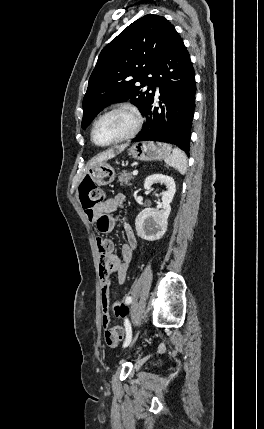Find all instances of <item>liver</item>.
Masks as SVG:
<instances>
[{
	"instance_id": "6515ba94",
	"label": "liver",
	"mask_w": 264,
	"mask_h": 429,
	"mask_svg": "<svg viewBox=\"0 0 264 429\" xmlns=\"http://www.w3.org/2000/svg\"><path fill=\"white\" fill-rule=\"evenodd\" d=\"M126 147H127V144H123V145L117 146L116 148H111V149L101 153L100 155L93 158V160L90 163V167L94 166L97 163L104 162L108 159L115 157L116 152L120 153V152L124 151V149Z\"/></svg>"
}]
</instances>
